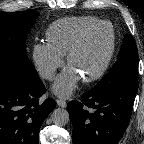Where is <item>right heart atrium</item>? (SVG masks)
<instances>
[{
	"label": "right heart atrium",
	"instance_id": "obj_1",
	"mask_svg": "<svg viewBox=\"0 0 144 144\" xmlns=\"http://www.w3.org/2000/svg\"><path fill=\"white\" fill-rule=\"evenodd\" d=\"M32 61L40 76L52 80L64 64V57L48 43H36L31 51Z\"/></svg>",
	"mask_w": 144,
	"mask_h": 144
}]
</instances>
